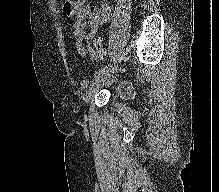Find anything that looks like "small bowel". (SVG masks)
I'll return each mask as SVG.
<instances>
[{
    "instance_id": "obj_1",
    "label": "small bowel",
    "mask_w": 219,
    "mask_h": 192,
    "mask_svg": "<svg viewBox=\"0 0 219 192\" xmlns=\"http://www.w3.org/2000/svg\"><path fill=\"white\" fill-rule=\"evenodd\" d=\"M88 0H65L63 11L66 15L74 17L73 35L76 39V48L80 55L85 56L87 53L86 46L96 35L100 24L109 20L112 7L109 2H102L100 5L92 8L87 4ZM89 57L92 60L97 55L90 49Z\"/></svg>"
}]
</instances>
